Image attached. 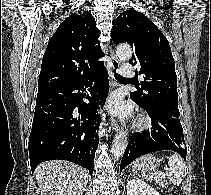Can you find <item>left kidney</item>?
Instances as JSON below:
<instances>
[{
    "instance_id": "1",
    "label": "left kidney",
    "mask_w": 211,
    "mask_h": 195,
    "mask_svg": "<svg viewBox=\"0 0 211 195\" xmlns=\"http://www.w3.org/2000/svg\"><path fill=\"white\" fill-rule=\"evenodd\" d=\"M127 195H160L152 186L141 179H132L127 182Z\"/></svg>"
}]
</instances>
